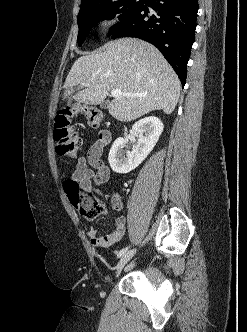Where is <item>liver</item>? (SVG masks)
Segmentation results:
<instances>
[{"label": "liver", "instance_id": "obj_1", "mask_svg": "<svg viewBox=\"0 0 247 332\" xmlns=\"http://www.w3.org/2000/svg\"><path fill=\"white\" fill-rule=\"evenodd\" d=\"M90 85L76 94L74 87ZM63 88L68 105L74 99L87 105L101 104L109 90L138 96H119L107 104L109 113L121 122L153 111L171 114L178 102V76L151 44L135 38L110 41L103 50L79 57L72 65Z\"/></svg>", "mask_w": 247, "mask_h": 332}]
</instances>
